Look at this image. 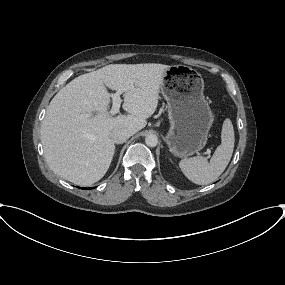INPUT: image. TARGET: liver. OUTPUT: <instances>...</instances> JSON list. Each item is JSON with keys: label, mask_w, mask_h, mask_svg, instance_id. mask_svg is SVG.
Listing matches in <instances>:
<instances>
[{"label": "liver", "mask_w": 285, "mask_h": 285, "mask_svg": "<svg viewBox=\"0 0 285 285\" xmlns=\"http://www.w3.org/2000/svg\"><path fill=\"white\" fill-rule=\"evenodd\" d=\"M170 66L156 63L110 64L80 75L51 100L41 125L45 159L61 178L87 186L107 172L115 145L114 129L134 135L158 106L164 72ZM107 87L121 90L128 115L109 114Z\"/></svg>", "instance_id": "obj_1"}]
</instances>
